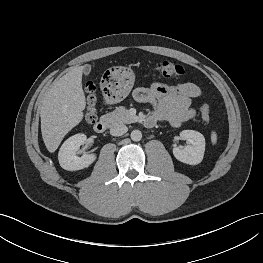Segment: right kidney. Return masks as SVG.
Wrapping results in <instances>:
<instances>
[{"label":"right kidney","mask_w":263,"mask_h":263,"mask_svg":"<svg viewBox=\"0 0 263 263\" xmlns=\"http://www.w3.org/2000/svg\"><path fill=\"white\" fill-rule=\"evenodd\" d=\"M85 134H76L68 138L60 148L58 160L60 166L68 171H76L89 167L95 160V154L84 153L78 157L79 147L86 143Z\"/></svg>","instance_id":"obj_1"}]
</instances>
